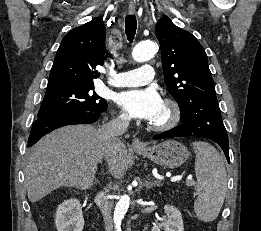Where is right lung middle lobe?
<instances>
[{
  "label": "right lung middle lobe",
  "instance_id": "right-lung-middle-lobe-1",
  "mask_svg": "<svg viewBox=\"0 0 261 231\" xmlns=\"http://www.w3.org/2000/svg\"><path fill=\"white\" fill-rule=\"evenodd\" d=\"M94 85L60 86L47 88L38 119H44L72 111H99L107 108V103L92 92Z\"/></svg>",
  "mask_w": 261,
  "mask_h": 231
}]
</instances>
